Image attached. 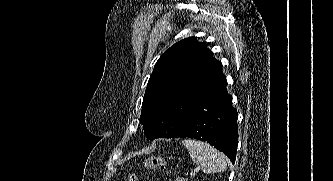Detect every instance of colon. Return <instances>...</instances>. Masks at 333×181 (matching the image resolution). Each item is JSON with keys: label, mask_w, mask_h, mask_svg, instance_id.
Listing matches in <instances>:
<instances>
[{"label": "colon", "mask_w": 333, "mask_h": 181, "mask_svg": "<svg viewBox=\"0 0 333 181\" xmlns=\"http://www.w3.org/2000/svg\"><path fill=\"white\" fill-rule=\"evenodd\" d=\"M168 161L163 156H150L146 158L142 163V169L144 170H158L165 171L167 169ZM126 181H139L137 172H129Z\"/></svg>", "instance_id": "1"}]
</instances>
